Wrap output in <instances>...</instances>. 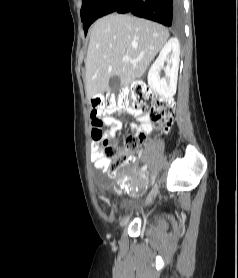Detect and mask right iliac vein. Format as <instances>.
<instances>
[{"instance_id": "1", "label": "right iliac vein", "mask_w": 238, "mask_h": 278, "mask_svg": "<svg viewBox=\"0 0 238 278\" xmlns=\"http://www.w3.org/2000/svg\"><path fill=\"white\" fill-rule=\"evenodd\" d=\"M158 175H151V179L149 181L148 189H152L153 184H155V180H157Z\"/></svg>"}]
</instances>
